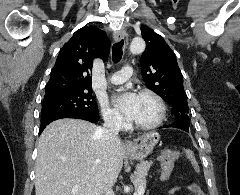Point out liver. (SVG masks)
<instances>
[{
    "mask_svg": "<svg viewBox=\"0 0 240 195\" xmlns=\"http://www.w3.org/2000/svg\"><path fill=\"white\" fill-rule=\"evenodd\" d=\"M96 129L95 123L69 117L45 127L35 163L36 195H101L114 185L124 147L121 139L102 145Z\"/></svg>",
    "mask_w": 240,
    "mask_h": 195,
    "instance_id": "6515ba94",
    "label": "liver"
}]
</instances>
